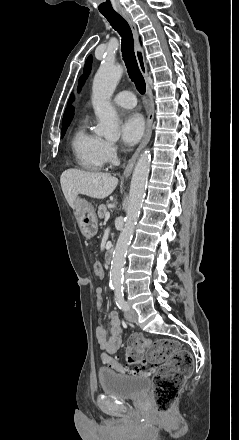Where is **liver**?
I'll list each match as a JSON object with an SVG mask.
<instances>
[{
    "label": "liver",
    "instance_id": "liver-1",
    "mask_svg": "<svg viewBox=\"0 0 239 440\" xmlns=\"http://www.w3.org/2000/svg\"><path fill=\"white\" fill-rule=\"evenodd\" d=\"M60 184L70 208H74L78 194L103 200L114 192L118 180L111 174H103V172L65 170L60 178Z\"/></svg>",
    "mask_w": 239,
    "mask_h": 440
}]
</instances>
